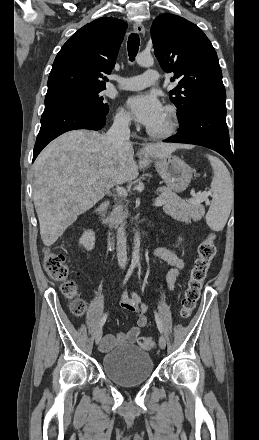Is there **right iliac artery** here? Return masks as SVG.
<instances>
[{"mask_svg":"<svg viewBox=\"0 0 259 440\" xmlns=\"http://www.w3.org/2000/svg\"><path fill=\"white\" fill-rule=\"evenodd\" d=\"M134 268H135V265H131L130 267H129V269H128V271H127V274H126V276H125V279H124V281H123V285L124 284H126V282L128 281V279L130 278V276L132 275V273H133V271H134ZM107 313H105L104 315H103V317L101 318V320H100V328H102V326L105 324V322H106V319H107Z\"/></svg>","mask_w":259,"mask_h":440,"instance_id":"82829eb1","label":"right iliac artery"}]
</instances>
